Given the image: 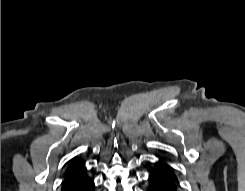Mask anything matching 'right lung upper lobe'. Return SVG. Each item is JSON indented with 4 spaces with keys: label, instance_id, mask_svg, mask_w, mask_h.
Instances as JSON below:
<instances>
[{
    "label": "right lung upper lobe",
    "instance_id": "cb5924a9",
    "mask_svg": "<svg viewBox=\"0 0 245 191\" xmlns=\"http://www.w3.org/2000/svg\"><path fill=\"white\" fill-rule=\"evenodd\" d=\"M82 167H83L82 163H80V162H73V163L67 168L65 175H69V174L75 172L76 170H78V169H80V168H82Z\"/></svg>",
    "mask_w": 245,
    "mask_h": 191
}]
</instances>
